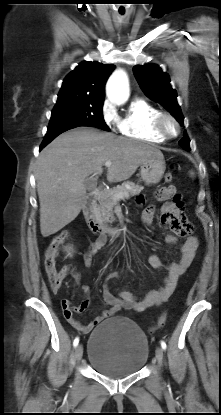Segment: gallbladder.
<instances>
[{
  "mask_svg": "<svg viewBox=\"0 0 221 415\" xmlns=\"http://www.w3.org/2000/svg\"><path fill=\"white\" fill-rule=\"evenodd\" d=\"M96 185V180L95 179H91V178H86L84 180V186L86 188V190L90 191L92 190Z\"/></svg>",
  "mask_w": 221,
  "mask_h": 415,
  "instance_id": "obj_1",
  "label": "gallbladder"
}]
</instances>
